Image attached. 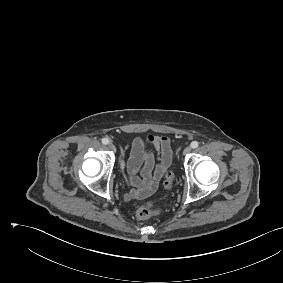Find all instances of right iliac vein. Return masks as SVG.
Masks as SVG:
<instances>
[{"mask_svg": "<svg viewBox=\"0 0 283 283\" xmlns=\"http://www.w3.org/2000/svg\"><path fill=\"white\" fill-rule=\"evenodd\" d=\"M108 148H109L111 151H113V152L116 151L115 145H114L113 143H109V144H108Z\"/></svg>", "mask_w": 283, "mask_h": 283, "instance_id": "obj_1", "label": "right iliac vein"}]
</instances>
